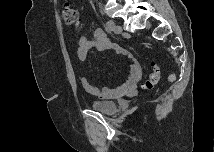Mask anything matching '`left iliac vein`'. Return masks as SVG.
I'll list each match as a JSON object with an SVG mask.
<instances>
[{
    "instance_id": "obj_1",
    "label": "left iliac vein",
    "mask_w": 215,
    "mask_h": 152,
    "mask_svg": "<svg viewBox=\"0 0 215 152\" xmlns=\"http://www.w3.org/2000/svg\"><path fill=\"white\" fill-rule=\"evenodd\" d=\"M112 29H113V31H114L115 34H121L122 33V27L120 25H115L114 24Z\"/></svg>"
}]
</instances>
